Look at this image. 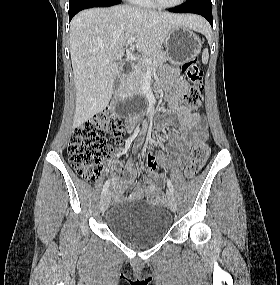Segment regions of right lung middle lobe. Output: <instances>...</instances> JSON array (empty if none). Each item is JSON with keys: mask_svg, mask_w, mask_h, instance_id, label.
<instances>
[{"mask_svg": "<svg viewBox=\"0 0 280 285\" xmlns=\"http://www.w3.org/2000/svg\"><path fill=\"white\" fill-rule=\"evenodd\" d=\"M76 0H70V3H73V2H75Z\"/></svg>", "mask_w": 280, "mask_h": 285, "instance_id": "right-lung-middle-lobe-1", "label": "right lung middle lobe"}]
</instances>
